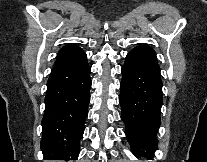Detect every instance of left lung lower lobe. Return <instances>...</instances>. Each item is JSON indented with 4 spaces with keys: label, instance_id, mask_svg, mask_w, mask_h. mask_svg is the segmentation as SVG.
I'll return each instance as SVG.
<instances>
[{
    "label": "left lung lower lobe",
    "instance_id": "1",
    "mask_svg": "<svg viewBox=\"0 0 207 162\" xmlns=\"http://www.w3.org/2000/svg\"><path fill=\"white\" fill-rule=\"evenodd\" d=\"M122 120L136 155H153L163 104L162 81L156 55L132 50L126 56L120 84Z\"/></svg>",
    "mask_w": 207,
    "mask_h": 162
}]
</instances>
